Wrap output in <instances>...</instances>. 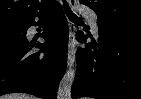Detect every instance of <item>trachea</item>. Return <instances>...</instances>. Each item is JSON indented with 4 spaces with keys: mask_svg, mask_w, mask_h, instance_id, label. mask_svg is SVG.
Returning <instances> with one entry per match:
<instances>
[{
    "mask_svg": "<svg viewBox=\"0 0 141 99\" xmlns=\"http://www.w3.org/2000/svg\"><path fill=\"white\" fill-rule=\"evenodd\" d=\"M65 13L67 14L68 18L73 22H82L80 18H78L70 9L68 3L66 1L63 2Z\"/></svg>",
    "mask_w": 141,
    "mask_h": 99,
    "instance_id": "1",
    "label": "trachea"
}]
</instances>
